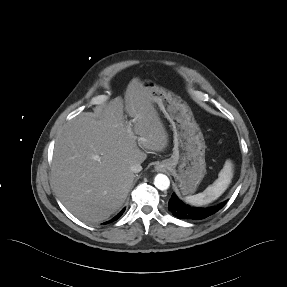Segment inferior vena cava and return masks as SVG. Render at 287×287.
<instances>
[{"instance_id":"inferior-vena-cava-1","label":"inferior vena cava","mask_w":287,"mask_h":287,"mask_svg":"<svg viewBox=\"0 0 287 287\" xmlns=\"http://www.w3.org/2000/svg\"><path fill=\"white\" fill-rule=\"evenodd\" d=\"M130 169L133 173H138L142 170V166L140 165V163H134L131 165Z\"/></svg>"}]
</instances>
